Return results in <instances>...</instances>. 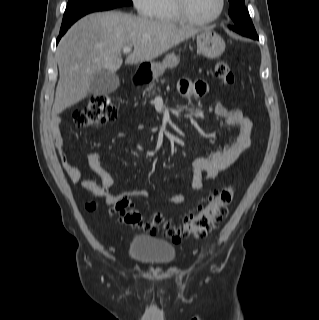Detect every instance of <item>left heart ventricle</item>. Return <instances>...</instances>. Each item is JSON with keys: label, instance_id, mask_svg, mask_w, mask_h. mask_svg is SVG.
I'll use <instances>...</instances> for the list:
<instances>
[{"label": "left heart ventricle", "instance_id": "1", "mask_svg": "<svg viewBox=\"0 0 319 320\" xmlns=\"http://www.w3.org/2000/svg\"><path fill=\"white\" fill-rule=\"evenodd\" d=\"M190 13L197 19L214 16L219 8V0H187Z\"/></svg>", "mask_w": 319, "mask_h": 320}]
</instances>
